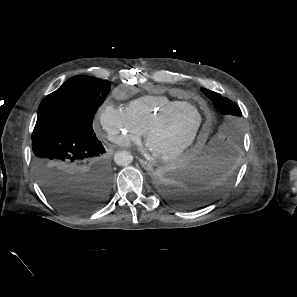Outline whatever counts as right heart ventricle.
Segmentation results:
<instances>
[{
  "label": "right heart ventricle",
  "mask_w": 297,
  "mask_h": 297,
  "mask_svg": "<svg viewBox=\"0 0 297 297\" xmlns=\"http://www.w3.org/2000/svg\"><path fill=\"white\" fill-rule=\"evenodd\" d=\"M186 103V101L171 99L165 95H145L129 102L125 111L139 130L144 132L147 125L158 114Z\"/></svg>",
  "instance_id": "right-heart-ventricle-1"
}]
</instances>
